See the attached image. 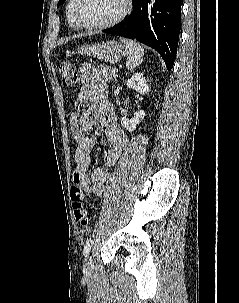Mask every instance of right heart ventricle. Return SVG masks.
<instances>
[{
    "instance_id": "1",
    "label": "right heart ventricle",
    "mask_w": 239,
    "mask_h": 303,
    "mask_svg": "<svg viewBox=\"0 0 239 303\" xmlns=\"http://www.w3.org/2000/svg\"><path fill=\"white\" fill-rule=\"evenodd\" d=\"M73 4H74V0H68L67 6H66V15H67V20H68L69 26L74 30H78V29H80V26L76 23V21L73 17V13H72Z\"/></svg>"
}]
</instances>
